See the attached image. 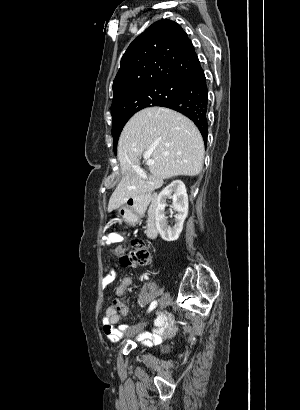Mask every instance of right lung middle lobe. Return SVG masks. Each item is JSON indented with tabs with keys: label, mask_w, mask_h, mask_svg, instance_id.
<instances>
[{
	"label": "right lung middle lobe",
	"mask_w": 300,
	"mask_h": 410,
	"mask_svg": "<svg viewBox=\"0 0 300 410\" xmlns=\"http://www.w3.org/2000/svg\"><path fill=\"white\" fill-rule=\"evenodd\" d=\"M184 84H161L157 86L142 88L134 91L123 102L120 113L112 116L114 139V152H116L120 133L126 122L137 111L151 106H161L171 100L183 87Z\"/></svg>",
	"instance_id": "dd1d6c3e"
}]
</instances>
